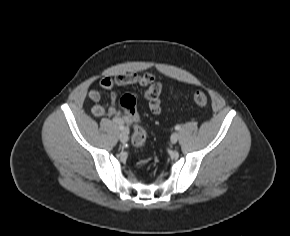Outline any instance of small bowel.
Returning <instances> with one entry per match:
<instances>
[{
    "label": "small bowel",
    "mask_w": 290,
    "mask_h": 236,
    "mask_svg": "<svg viewBox=\"0 0 290 236\" xmlns=\"http://www.w3.org/2000/svg\"><path fill=\"white\" fill-rule=\"evenodd\" d=\"M99 85L105 90H112L116 86L139 85L145 88L144 97L148 102L150 111L155 115L160 114L162 111V101L160 98L162 85L150 73L122 74L115 78L104 77L100 80ZM89 98L94 103L92 113L96 117L112 116L117 123L123 124L124 122H129L127 116L116 109V96L114 93L111 94L112 104L108 109L100 103L101 93L98 89H91L89 91Z\"/></svg>",
    "instance_id": "c3829d8e"
}]
</instances>
